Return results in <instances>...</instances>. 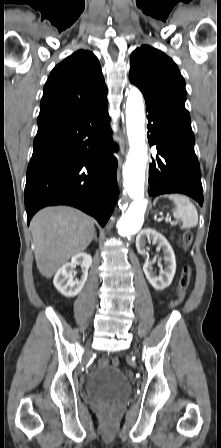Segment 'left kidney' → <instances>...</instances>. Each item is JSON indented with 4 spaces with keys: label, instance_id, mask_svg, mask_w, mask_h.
<instances>
[{
    "label": "left kidney",
    "instance_id": "5707ae66",
    "mask_svg": "<svg viewBox=\"0 0 221 448\" xmlns=\"http://www.w3.org/2000/svg\"><path fill=\"white\" fill-rule=\"evenodd\" d=\"M152 240L154 244H158L163 249V259L165 261V269L161 271L159 277L153 273L151 262L147 259L143 265V271L149 283L156 290H163L168 287L176 272V260L174 251L167 239L159 232L151 228L143 229L136 237V248L138 253L144 254L146 242Z\"/></svg>",
    "mask_w": 221,
    "mask_h": 448
}]
</instances>
